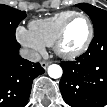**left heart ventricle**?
I'll return each mask as SVG.
<instances>
[{
	"label": "left heart ventricle",
	"instance_id": "b2bd125f",
	"mask_svg": "<svg viewBox=\"0 0 107 107\" xmlns=\"http://www.w3.org/2000/svg\"><path fill=\"white\" fill-rule=\"evenodd\" d=\"M88 35V25L83 18L74 19L66 32L63 49L73 51L80 48Z\"/></svg>",
	"mask_w": 107,
	"mask_h": 107
}]
</instances>
